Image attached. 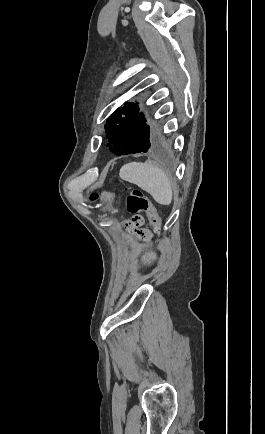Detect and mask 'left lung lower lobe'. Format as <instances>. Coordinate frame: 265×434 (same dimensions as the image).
<instances>
[{
  "label": "left lung lower lobe",
  "instance_id": "obj_1",
  "mask_svg": "<svg viewBox=\"0 0 265 434\" xmlns=\"http://www.w3.org/2000/svg\"><path fill=\"white\" fill-rule=\"evenodd\" d=\"M149 129L131 138L122 147L110 149L116 155H125L141 152H164L170 147V140L167 137L154 136L150 139Z\"/></svg>",
  "mask_w": 265,
  "mask_h": 434
}]
</instances>
